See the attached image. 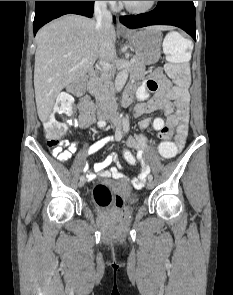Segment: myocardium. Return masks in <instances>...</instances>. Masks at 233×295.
I'll return each instance as SVG.
<instances>
[{
    "instance_id": "1",
    "label": "myocardium",
    "mask_w": 233,
    "mask_h": 295,
    "mask_svg": "<svg viewBox=\"0 0 233 295\" xmlns=\"http://www.w3.org/2000/svg\"><path fill=\"white\" fill-rule=\"evenodd\" d=\"M157 4V1H150L148 5L142 8H133L129 6L126 2H123V7L125 8L126 11L129 13L135 14V15H141L150 12L155 5Z\"/></svg>"
}]
</instances>
